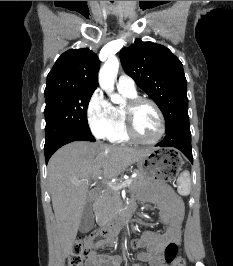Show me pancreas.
Segmentation results:
<instances>
[{
    "label": "pancreas",
    "mask_w": 233,
    "mask_h": 266,
    "mask_svg": "<svg viewBox=\"0 0 233 266\" xmlns=\"http://www.w3.org/2000/svg\"><path fill=\"white\" fill-rule=\"evenodd\" d=\"M131 184L128 186L130 191H134L149 183L147 177L140 171L137 176L131 179ZM120 203V193L118 190L107 189L97 201L95 209L100 222L111 219L115 216Z\"/></svg>",
    "instance_id": "cf45deb5"
}]
</instances>
